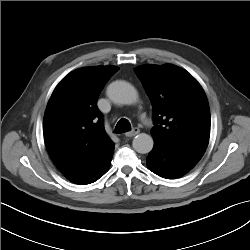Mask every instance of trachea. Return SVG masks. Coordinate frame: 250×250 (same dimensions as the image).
Listing matches in <instances>:
<instances>
[{
	"instance_id": "obj_1",
	"label": "trachea",
	"mask_w": 250,
	"mask_h": 250,
	"mask_svg": "<svg viewBox=\"0 0 250 250\" xmlns=\"http://www.w3.org/2000/svg\"><path fill=\"white\" fill-rule=\"evenodd\" d=\"M131 130L130 122L127 119H120L115 127V133H125Z\"/></svg>"
}]
</instances>
